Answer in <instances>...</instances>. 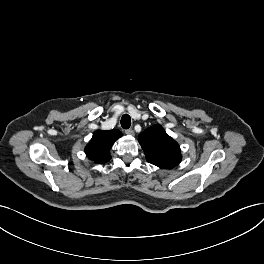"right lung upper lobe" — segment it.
Segmentation results:
<instances>
[{
	"instance_id": "cb5924a9",
	"label": "right lung upper lobe",
	"mask_w": 264,
	"mask_h": 264,
	"mask_svg": "<svg viewBox=\"0 0 264 264\" xmlns=\"http://www.w3.org/2000/svg\"><path fill=\"white\" fill-rule=\"evenodd\" d=\"M121 136L122 133L117 129L95 131L91 141L85 147L87 157L100 164L108 162L111 159L109 151L114 142Z\"/></svg>"
}]
</instances>
